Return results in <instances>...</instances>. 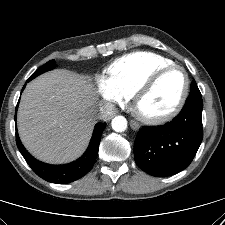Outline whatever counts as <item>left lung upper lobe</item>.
Masks as SVG:
<instances>
[{"label":"left lung upper lobe","mask_w":225,"mask_h":225,"mask_svg":"<svg viewBox=\"0 0 225 225\" xmlns=\"http://www.w3.org/2000/svg\"><path fill=\"white\" fill-rule=\"evenodd\" d=\"M190 88H191L190 94H201L195 81H192Z\"/></svg>","instance_id":"5c2ea615"}]
</instances>
